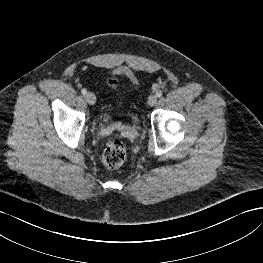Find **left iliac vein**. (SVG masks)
<instances>
[{
    "label": "left iliac vein",
    "instance_id": "1",
    "mask_svg": "<svg viewBox=\"0 0 263 263\" xmlns=\"http://www.w3.org/2000/svg\"><path fill=\"white\" fill-rule=\"evenodd\" d=\"M157 102V96L156 95H151L149 98H148V106H153L155 105V103Z\"/></svg>",
    "mask_w": 263,
    "mask_h": 263
}]
</instances>
